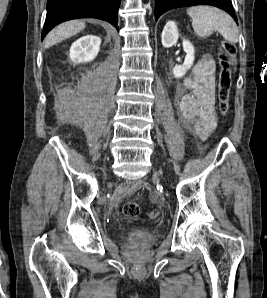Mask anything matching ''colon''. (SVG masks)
I'll return each instance as SVG.
<instances>
[{
	"label": "colon",
	"mask_w": 267,
	"mask_h": 298,
	"mask_svg": "<svg viewBox=\"0 0 267 298\" xmlns=\"http://www.w3.org/2000/svg\"><path fill=\"white\" fill-rule=\"evenodd\" d=\"M237 48L233 43L222 42L219 45V81H218V99L220 112L225 115L229 109V98L232 86V74L236 60ZM125 217L137 219L140 214V207L136 202H127L122 208ZM159 212L153 210L150 213L151 218H156Z\"/></svg>",
	"instance_id": "obj_1"
}]
</instances>
